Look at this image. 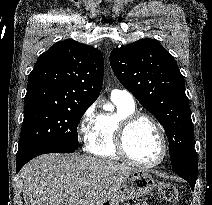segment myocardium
I'll return each mask as SVG.
<instances>
[{"mask_svg":"<svg viewBox=\"0 0 212 205\" xmlns=\"http://www.w3.org/2000/svg\"><path fill=\"white\" fill-rule=\"evenodd\" d=\"M140 119H146L150 121L156 128L161 140V154L158 159L151 162H141L136 160L134 157H132V155L129 153L127 149L126 138H127L128 131L131 128V126ZM114 140H115V147L119 155L125 160H127L128 162L140 167L149 168V167H154L159 165L166 158L167 151H168L167 138H166L164 129L159 123V121L152 115L139 112V111H135L133 113L126 115L118 122L116 130H115Z\"/></svg>","mask_w":212,"mask_h":205,"instance_id":"1","label":"myocardium"}]
</instances>
